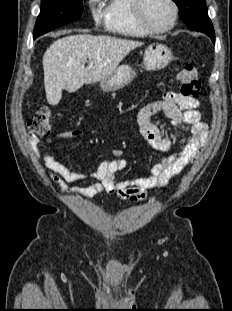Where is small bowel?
Returning a JSON list of instances; mask_svg holds the SVG:
<instances>
[{
	"label": "small bowel",
	"mask_w": 232,
	"mask_h": 311,
	"mask_svg": "<svg viewBox=\"0 0 232 311\" xmlns=\"http://www.w3.org/2000/svg\"><path fill=\"white\" fill-rule=\"evenodd\" d=\"M200 102L183 96L181 93L168 91L159 100L142 107L137 114V124L147 143L160 152L171 150L180 141L187 138L186 143L168 156H163L150 169L146 176L131 180L118 181L116 173L128 166L127 159L118 150H112L114 159L104 160L94 171L81 173L72 171L64 163L57 160L51 145L64 140L80 139L84 132L75 130L58 134L49 139H39L35 134H28V143L34 154L44 161L48 176L66 194L77 193L84 197H93L101 193H116L123 200L137 202L146 197L149 189L162 187L192 164L200 156L208 137V127L202 121L198 111ZM163 112L179 129L172 134L164 135L151 121L152 116ZM90 182L87 186L71 187L69 183Z\"/></svg>",
	"instance_id": "c3829d8e"
}]
</instances>
